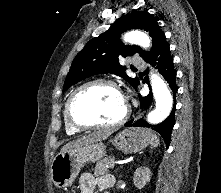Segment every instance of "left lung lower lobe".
Segmentation results:
<instances>
[{
  "label": "left lung lower lobe",
  "mask_w": 221,
  "mask_h": 193,
  "mask_svg": "<svg viewBox=\"0 0 221 193\" xmlns=\"http://www.w3.org/2000/svg\"><path fill=\"white\" fill-rule=\"evenodd\" d=\"M148 63H151L153 67L155 66L159 72L162 74L164 79L167 81L170 89L172 90L174 97L173 109L170 115L161 123L151 125L146 122L143 118L137 119L135 121H129L125 126H137V127H148L157 131L164 139L167 147L169 146L171 131L175 122V107H176V93L178 87L176 85V71L173 66V58L170 54L169 45L164 41L158 49L146 60ZM140 105L143 110H147L152 102V93L146 97H141L139 95Z\"/></svg>",
  "instance_id": "0a47b994"
}]
</instances>
